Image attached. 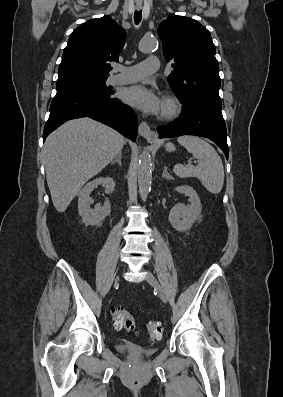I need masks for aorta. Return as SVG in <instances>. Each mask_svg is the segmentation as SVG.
I'll list each match as a JSON object with an SVG mask.
<instances>
[{
	"mask_svg": "<svg viewBox=\"0 0 283 397\" xmlns=\"http://www.w3.org/2000/svg\"><path fill=\"white\" fill-rule=\"evenodd\" d=\"M157 39L155 37H145L140 43V50L142 52H148L153 50L157 45ZM152 160L151 155L147 148L143 150L139 157L138 164V185L140 197L143 201L147 200L148 194L151 190L152 183Z\"/></svg>",
	"mask_w": 283,
	"mask_h": 397,
	"instance_id": "762f6f07",
	"label": "aorta"
}]
</instances>
